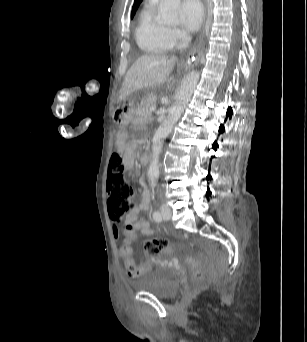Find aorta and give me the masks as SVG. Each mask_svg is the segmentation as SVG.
I'll use <instances>...</instances> for the list:
<instances>
[{"instance_id": "1", "label": "aorta", "mask_w": 307, "mask_h": 342, "mask_svg": "<svg viewBox=\"0 0 307 342\" xmlns=\"http://www.w3.org/2000/svg\"><path fill=\"white\" fill-rule=\"evenodd\" d=\"M181 0H160L159 4V22L167 26H178ZM198 72H190L185 78L175 96V102L169 110V114L159 126L152 142V160L150 162L148 176L149 178H158L159 176V156L163 148V140L172 132L175 122H178L183 110L191 100L193 90L199 82Z\"/></svg>"}]
</instances>
